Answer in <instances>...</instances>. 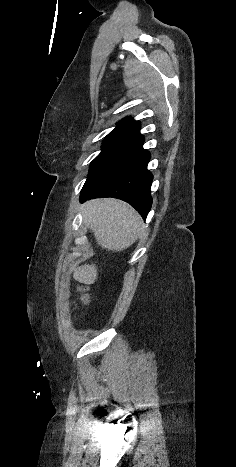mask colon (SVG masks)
<instances>
[{
  "label": "colon",
  "mask_w": 236,
  "mask_h": 467,
  "mask_svg": "<svg viewBox=\"0 0 236 467\" xmlns=\"http://www.w3.org/2000/svg\"><path fill=\"white\" fill-rule=\"evenodd\" d=\"M80 292V302L81 304L85 305L89 302V296L87 294V289L85 287H80L79 288Z\"/></svg>",
  "instance_id": "colon-1"
}]
</instances>
